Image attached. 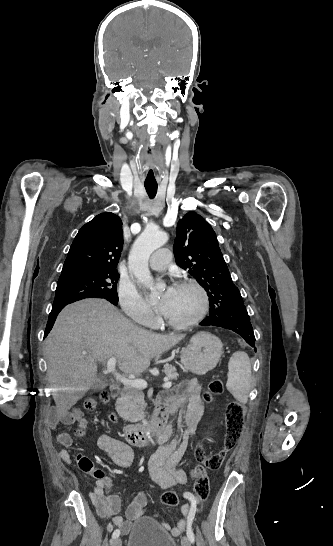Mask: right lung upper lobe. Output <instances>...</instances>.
<instances>
[{
	"mask_svg": "<svg viewBox=\"0 0 333 546\" xmlns=\"http://www.w3.org/2000/svg\"><path fill=\"white\" fill-rule=\"evenodd\" d=\"M122 233V222L117 215H97L79 230L61 275L116 270L123 247Z\"/></svg>",
	"mask_w": 333,
	"mask_h": 546,
	"instance_id": "obj_1",
	"label": "right lung upper lobe"
}]
</instances>
